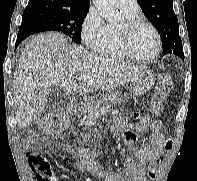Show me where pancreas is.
<instances>
[{
    "label": "pancreas",
    "mask_w": 197,
    "mask_h": 181,
    "mask_svg": "<svg viewBox=\"0 0 197 181\" xmlns=\"http://www.w3.org/2000/svg\"><path fill=\"white\" fill-rule=\"evenodd\" d=\"M116 101H107L88 106L84 111L83 122L81 124H89L92 121L101 118L106 113L110 112L113 106H116Z\"/></svg>",
    "instance_id": "1"
}]
</instances>
